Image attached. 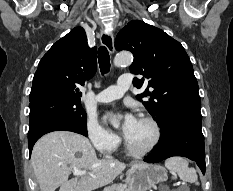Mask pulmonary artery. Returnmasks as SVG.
<instances>
[{
	"label": "pulmonary artery",
	"mask_w": 233,
	"mask_h": 191,
	"mask_svg": "<svg viewBox=\"0 0 233 191\" xmlns=\"http://www.w3.org/2000/svg\"><path fill=\"white\" fill-rule=\"evenodd\" d=\"M132 84L129 75H122L119 77L117 84L111 85L97 94L96 100L100 103H109L114 100L120 99L126 90Z\"/></svg>",
	"instance_id": "obj_1"
}]
</instances>
